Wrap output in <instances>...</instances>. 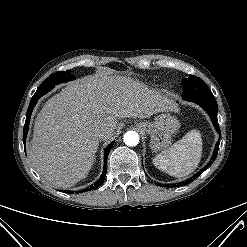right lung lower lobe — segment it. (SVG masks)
I'll use <instances>...</instances> for the list:
<instances>
[{
    "mask_svg": "<svg viewBox=\"0 0 247 247\" xmlns=\"http://www.w3.org/2000/svg\"><path fill=\"white\" fill-rule=\"evenodd\" d=\"M36 102H37L36 99H31L30 105H29L28 110H27L26 121H25L24 131H23V143H24V146H25V141H26V137H27V133H28V127H29V121H30L31 113H32V110H33ZM113 144H114V141L111 142L105 149L104 169H103L102 175L100 176L99 180H97V182L94 184V186H91L90 188L86 189V191L87 190H91V189H95V188H97V187H99L100 185L103 184L104 178H105V175H106V171H107L108 154H109L111 148L113 147Z\"/></svg>",
    "mask_w": 247,
    "mask_h": 247,
    "instance_id": "1",
    "label": "right lung lower lobe"
}]
</instances>
